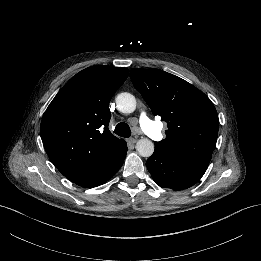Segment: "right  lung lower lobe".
<instances>
[{"mask_svg": "<svg viewBox=\"0 0 261 261\" xmlns=\"http://www.w3.org/2000/svg\"><path fill=\"white\" fill-rule=\"evenodd\" d=\"M126 153L127 147L104 169L75 183L86 188H91L103 184L120 169L125 159Z\"/></svg>", "mask_w": 261, "mask_h": 261, "instance_id": "obj_1", "label": "right lung lower lobe"}]
</instances>
